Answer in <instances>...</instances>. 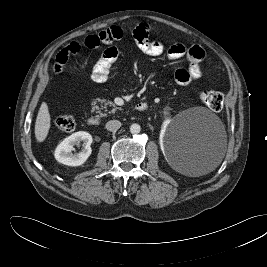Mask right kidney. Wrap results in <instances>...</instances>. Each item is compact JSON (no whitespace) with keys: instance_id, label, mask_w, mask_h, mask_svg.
Returning <instances> with one entry per match:
<instances>
[{"instance_id":"right-kidney-1","label":"right kidney","mask_w":267,"mask_h":267,"mask_svg":"<svg viewBox=\"0 0 267 267\" xmlns=\"http://www.w3.org/2000/svg\"><path fill=\"white\" fill-rule=\"evenodd\" d=\"M83 142L85 147L78 154L71 153L74 150V144ZM93 139L92 136L85 131H78L65 138L55 149V159L67 166H80L84 164L91 155L92 149L90 147Z\"/></svg>"}]
</instances>
